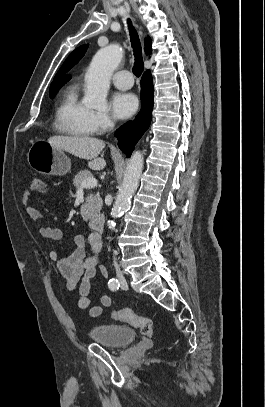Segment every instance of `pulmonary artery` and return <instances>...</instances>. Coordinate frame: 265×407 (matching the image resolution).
<instances>
[{"instance_id": "1", "label": "pulmonary artery", "mask_w": 265, "mask_h": 407, "mask_svg": "<svg viewBox=\"0 0 265 407\" xmlns=\"http://www.w3.org/2000/svg\"><path fill=\"white\" fill-rule=\"evenodd\" d=\"M112 82L117 88L127 90L133 85V77L130 71L120 70L112 76Z\"/></svg>"}]
</instances>
